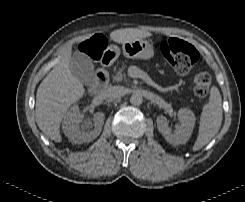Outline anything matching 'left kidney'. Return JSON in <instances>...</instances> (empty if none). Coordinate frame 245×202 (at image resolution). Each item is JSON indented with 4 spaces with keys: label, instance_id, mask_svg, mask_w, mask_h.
<instances>
[{
    "label": "left kidney",
    "instance_id": "obj_1",
    "mask_svg": "<svg viewBox=\"0 0 245 202\" xmlns=\"http://www.w3.org/2000/svg\"><path fill=\"white\" fill-rule=\"evenodd\" d=\"M178 120L180 124L174 132L168 126V121L165 116H158L156 120L159 132L172 145L185 144L189 140L195 125V115L190 109L181 108L178 111Z\"/></svg>",
    "mask_w": 245,
    "mask_h": 202
}]
</instances>
